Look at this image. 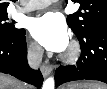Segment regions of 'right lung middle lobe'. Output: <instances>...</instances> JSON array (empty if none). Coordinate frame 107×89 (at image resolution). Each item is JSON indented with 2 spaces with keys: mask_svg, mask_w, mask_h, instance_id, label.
Masks as SVG:
<instances>
[{
  "mask_svg": "<svg viewBox=\"0 0 107 89\" xmlns=\"http://www.w3.org/2000/svg\"><path fill=\"white\" fill-rule=\"evenodd\" d=\"M7 19H8L7 12L0 14V36L1 37L5 39H12L17 37L22 31H24V29L15 28L14 22L12 23L7 22L6 21Z\"/></svg>",
  "mask_w": 107,
  "mask_h": 89,
  "instance_id": "dd1d6c3e",
  "label": "right lung middle lobe"
}]
</instances>
